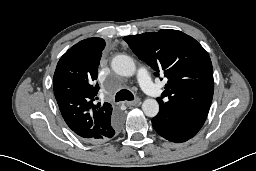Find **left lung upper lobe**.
<instances>
[{
  "label": "left lung upper lobe",
  "mask_w": 256,
  "mask_h": 171,
  "mask_svg": "<svg viewBox=\"0 0 256 171\" xmlns=\"http://www.w3.org/2000/svg\"><path fill=\"white\" fill-rule=\"evenodd\" d=\"M132 51L168 79L157 99L160 109L173 111L196 129L208 115L214 92L212 63L207 51L192 37L171 29L123 38ZM167 97L166 101L163 98Z\"/></svg>",
  "instance_id": "left-lung-upper-lobe-1"
}]
</instances>
